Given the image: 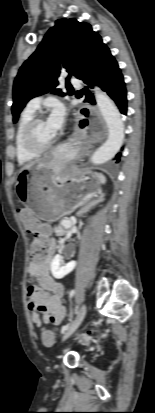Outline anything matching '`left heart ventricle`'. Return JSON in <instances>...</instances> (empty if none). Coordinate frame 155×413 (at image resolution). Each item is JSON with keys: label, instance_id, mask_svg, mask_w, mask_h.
I'll return each mask as SVG.
<instances>
[{"label": "left heart ventricle", "instance_id": "left-heart-ventricle-1", "mask_svg": "<svg viewBox=\"0 0 155 413\" xmlns=\"http://www.w3.org/2000/svg\"><path fill=\"white\" fill-rule=\"evenodd\" d=\"M54 135L49 130L46 121H41L35 129V139L39 144H47L54 139Z\"/></svg>", "mask_w": 155, "mask_h": 413}]
</instances>
